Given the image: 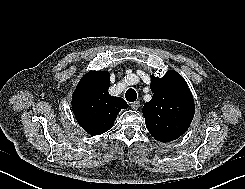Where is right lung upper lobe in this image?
Here are the masks:
<instances>
[{"label": "right lung upper lobe", "mask_w": 245, "mask_h": 189, "mask_svg": "<svg viewBox=\"0 0 245 189\" xmlns=\"http://www.w3.org/2000/svg\"><path fill=\"white\" fill-rule=\"evenodd\" d=\"M110 75L107 71H90L78 83L72 96V110L83 129L100 135L114 125L121 109L128 104L121 97L108 93Z\"/></svg>", "instance_id": "1"}]
</instances>
